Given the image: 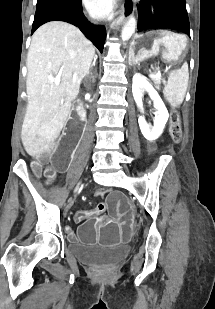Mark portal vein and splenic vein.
Returning <instances> with one entry per match:
<instances>
[{"mask_svg": "<svg viewBox=\"0 0 215 309\" xmlns=\"http://www.w3.org/2000/svg\"><path fill=\"white\" fill-rule=\"evenodd\" d=\"M51 82H55V84H60L61 82L60 76H56V78H51Z\"/></svg>", "mask_w": 215, "mask_h": 309, "instance_id": "18ae733b", "label": "portal vein and splenic vein"}]
</instances>
